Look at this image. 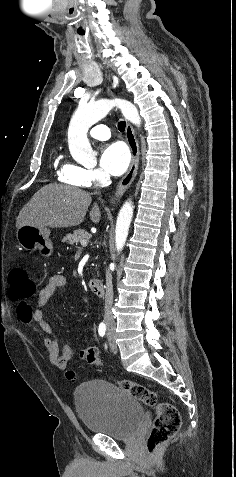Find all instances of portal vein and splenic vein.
I'll return each instance as SVG.
<instances>
[{
	"mask_svg": "<svg viewBox=\"0 0 236 477\" xmlns=\"http://www.w3.org/2000/svg\"><path fill=\"white\" fill-rule=\"evenodd\" d=\"M87 244H88V243H87V240H82V241H81V245H82V246L85 247V246H87Z\"/></svg>",
	"mask_w": 236,
	"mask_h": 477,
	"instance_id": "portal-vein-and-splenic-vein-1",
	"label": "portal vein and splenic vein"
}]
</instances>
